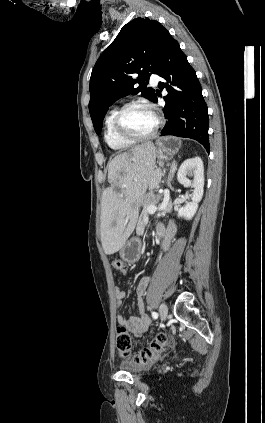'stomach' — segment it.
<instances>
[{
    "mask_svg": "<svg viewBox=\"0 0 265 423\" xmlns=\"http://www.w3.org/2000/svg\"><path fill=\"white\" fill-rule=\"evenodd\" d=\"M178 146L174 139L170 137L161 138L157 142V156L162 161H168L173 158L177 152ZM120 257L128 262L135 263L141 258V241L138 237L128 240L120 250Z\"/></svg>",
    "mask_w": 265,
    "mask_h": 423,
    "instance_id": "obj_1",
    "label": "stomach"
}]
</instances>
